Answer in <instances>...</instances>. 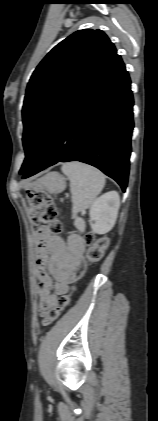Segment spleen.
<instances>
[{
	"label": "spleen",
	"instance_id": "3e777b00",
	"mask_svg": "<svg viewBox=\"0 0 158 421\" xmlns=\"http://www.w3.org/2000/svg\"><path fill=\"white\" fill-rule=\"evenodd\" d=\"M61 170L70 181L74 225L79 230H84L85 222L77 213L94 203L104 188L105 176L97 168L78 161L63 164Z\"/></svg>",
	"mask_w": 158,
	"mask_h": 421
}]
</instances>
